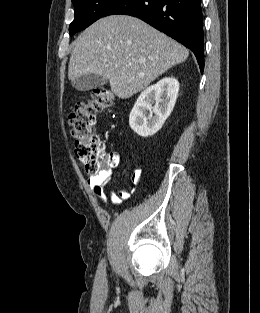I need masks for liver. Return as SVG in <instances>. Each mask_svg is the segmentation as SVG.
<instances>
[{
    "instance_id": "obj_1",
    "label": "liver",
    "mask_w": 260,
    "mask_h": 313,
    "mask_svg": "<svg viewBox=\"0 0 260 313\" xmlns=\"http://www.w3.org/2000/svg\"><path fill=\"white\" fill-rule=\"evenodd\" d=\"M189 51L144 21L128 15L101 18L74 42L68 78L99 74L122 99L144 90Z\"/></svg>"
}]
</instances>
